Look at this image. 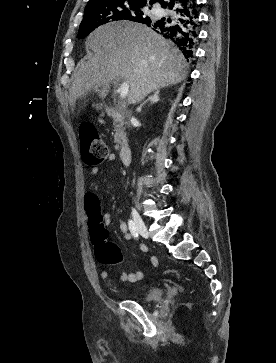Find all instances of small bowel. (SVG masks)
<instances>
[{"mask_svg":"<svg viewBox=\"0 0 276 363\" xmlns=\"http://www.w3.org/2000/svg\"><path fill=\"white\" fill-rule=\"evenodd\" d=\"M115 158L114 154H110L108 157V160H113ZM99 172V168L98 167H92L91 168V174L93 175H97ZM98 206H99V199L96 193L90 192L86 195L85 198V207L86 209L89 208H94L96 210H98ZM102 220L104 222L105 225H109L112 222V216L110 213H104L102 214ZM119 229L120 231L123 233L124 237L126 239H130L131 238V234L128 230V227L126 225V223L124 221H119L118 223ZM144 252L146 251V247L142 246L141 248ZM149 265L152 267H156L158 265V259L155 256H151L149 258L148 261ZM145 276V273L142 271H137V272H119L118 274L114 275L112 274L110 271L108 270H102L100 273V277L103 280L109 281V280H113L116 279L118 281L121 282H137L141 279H143Z\"/></svg>","mask_w":276,"mask_h":363,"instance_id":"1","label":"small bowel"}]
</instances>
